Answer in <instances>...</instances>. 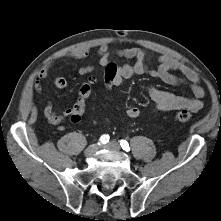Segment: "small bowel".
Here are the masks:
<instances>
[{"mask_svg": "<svg viewBox=\"0 0 221 221\" xmlns=\"http://www.w3.org/2000/svg\"><path fill=\"white\" fill-rule=\"evenodd\" d=\"M91 54V51L87 47L77 49L64 55L66 60H83L87 59ZM97 57L100 65L105 68L108 61L113 57H120L125 59H132V64H119L120 70L116 74V79L113 82V86L121 85L124 80L132 78L137 75L149 74L152 77L158 78L169 85H180L184 81L182 78L173 74V71H177L182 74L189 82L192 91L191 96L178 95L169 91L160 90L155 87L149 89V96L154 104L155 112H167L179 109H189L191 111H197L203 107L202 98L205 91L200 84L199 74L192 68L183 65L176 58L161 55L158 57V64L155 69H150L147 64L149 52L141 48H128L119 51H111L107 44H102L97 50ZM55 65L54 61L47 62L38 72L34 81V88L37 93L43 94L42 80L48 77L50 69ZM93 71V66H83L79 69L80 75H88ZM53 84L58 89H64L67 87V80L62 76H56L53 79ZM141 111L136 106H130L126 110V114L129 118L139 117ZM43 114L47 120L52 124H60L63 121L69 119L73 114V107L64 110L61 114L55 112L53 105L50 101H47Z\"/></svg>", "mask_w": 221, "mask_h": 221, "instance_id": "c3829d8e", "label": "small bowel"}]
</instances>
